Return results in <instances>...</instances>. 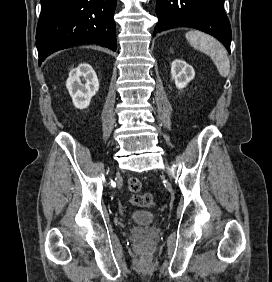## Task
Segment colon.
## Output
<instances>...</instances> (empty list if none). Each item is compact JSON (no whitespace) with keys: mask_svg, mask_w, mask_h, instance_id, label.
<instances>
[{"mask_svg":"<svg viewBox=\"0 0 272 282\" xmlns=\"http://www.w3.org/2000/svg\"><path fill=\"white\" fill-rule=\"evenodd\" d=\"M141 181L138 178L132 177L128 180V188L134 193L138 194L141 190ZM134 204L142 207H152L154 205V197L151 194L136 195L133 199ZM149 257L148 253L144 255V258Z\"/></svg>","mask_w":272,"mask_h":282,"instance_id":"5ec220e1","label":"colon"}]
</instances>
